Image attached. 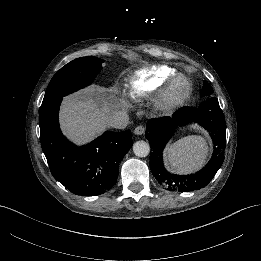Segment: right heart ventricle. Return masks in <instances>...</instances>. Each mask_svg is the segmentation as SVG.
Returning a JSON list of instances; mask_svg holds the SVG:
<instances>
[{
  "label": "right heart ventricle",
  "mask_w": 261,
  "mask_h": 261,
  "mask_svg": "<svg viewBox=\"0 0 261 261\" xmlns=\"http://www.w3.org/2000/svg\"><path fill=\"white\" fill-rule=\"evenodd\" d=\"M174 75H176L175 70H169L167 77L163 82L168 81ZM156 75L153 71H146L137 73L131 82V94L133 97H146L155 88Z\"/></svg>",
  "instance_id": "1"
}]
</instances>
